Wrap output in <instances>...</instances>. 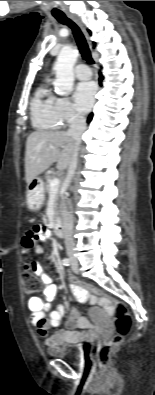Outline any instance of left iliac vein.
<instances>
[{
	"label": "left iliac vein",
	"mask_w": 155,
	"mask_h": 395,
	"mask_svg": "<svg viewBox=\"0 0 155 395\" xmlns=\"http://www.w3.org/2000/svg\"><path fill=\"white\" fill-rule=\"evenodd\" d=\"M71 269L74 273H78L79 269H78V263L76 260H72Z\"/></svg>",
	"instance_id": "obj_1"
}]
</instances>
